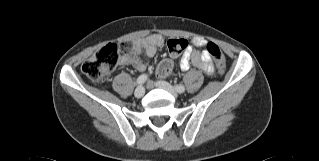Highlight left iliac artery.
<instances>
[{
    "label": "left iliac artery",
    "mask_w": 319,
    "mask_h": 161,
    "mask_svg": "<svg viewBox=\"0 0 319 161\" xmlns=\"http://www.w3.org/2000/svg\"><path fill=\"white\" fill-rule=\"evenodd\" d=\"M175 89L177 92L182 93L185 91V87L183 85H176Z\"/></svg>",
    "instance_id": "1"
}]
</instances>
